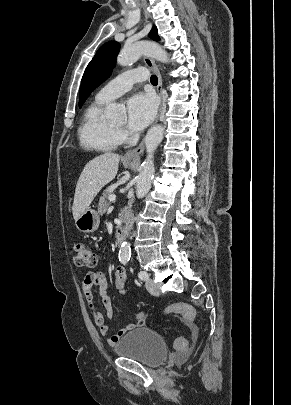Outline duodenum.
<instances>
[{"instance_id":"410a0bca","label":"duodenum","mask_w":291,"mask_h":405,"mask_svg":"<svg viewBox=\"0 0 291 405\" xmlns=\"http://www.w3.org/2000/svg\"><path fill=\"white\" fill-rule=\"evenodd\" d=\"M123 234H124V228L123 226H120L117 231H116V235H115V243L116 245H120L122 238H123Z\"/></svg>"}]
</instances>
